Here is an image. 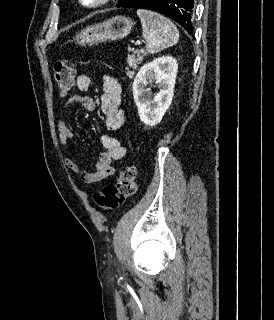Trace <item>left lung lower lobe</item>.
<instances>
[{
  "instance_id": "0a47b994",
  "label": "left lung lower lobe",
  "mask_w": 274,
  "mask_h": 320,
  "mask_svg": "<svg viewBox=\"0 0 274 320\" xmlns=\"http://www.w3.org/2000/svg\"><path fill=\"white\" fill-rule=\"evenodd\" d=\"M120 7L159 12L178 22L189 34L193 32L194 0H128Z\"/></svg>"
}]
</instances>
